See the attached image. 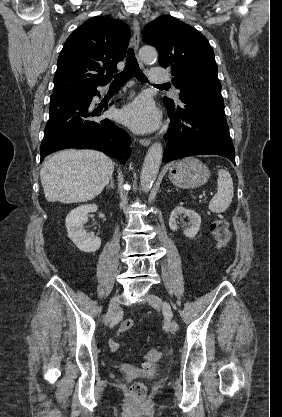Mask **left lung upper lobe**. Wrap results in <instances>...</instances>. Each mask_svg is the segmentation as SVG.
<instances>
[{
    "instance_id": "obj_1",
    "label": "left lung upper lobe",
    "mask_w": 282,
    "mask_h": 417,
    "mask_svg": "<svg viewBox=\"0 0 282 417\" xmlns=\"http://www.w3.org/2000/svg\"><path fill=\"white\" fill-rule=\"evenodd\" d=\"M142 39L158 50L159 64L171 70L172 83L181 91L180 97L196 86L221 89L214 51L195 28L170 15H162L145 26ZM164 103L174 105L168 97Z\"/></svg>"
}]
</instances>
